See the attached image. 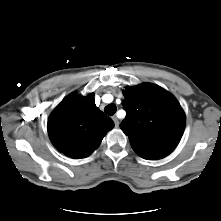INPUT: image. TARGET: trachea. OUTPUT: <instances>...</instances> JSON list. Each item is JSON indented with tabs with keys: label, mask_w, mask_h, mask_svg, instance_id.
<instances>
[{
	"label": "trachea",
	"mask_w": 221,
	"mask_h": 221,
	"mask_svg": "<svg viewBox=\"0 0 221 221\" xmlns=\"http://www.w3.org/2000/svg\"><path fill=\"white\" fill-rule=\"evenodd\" d=\"M116 111H117V107L115 104H109L104 108V112L109 116L114 115Z\"/></svg>",
	"instance_id": "trachea-1"
}]
</instances>
